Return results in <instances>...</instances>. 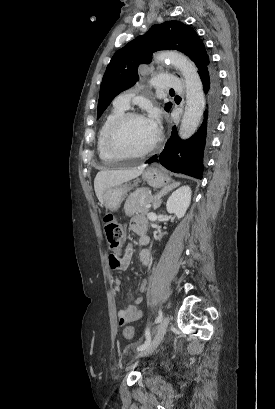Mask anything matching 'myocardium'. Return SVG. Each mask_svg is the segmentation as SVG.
Returning <instances> with one entry per match:
<instances>
[{"instance_id":"obj_1","label":"myocardium","mask_w":275,"mask_h":409,"mask_svg":"<svg viewBox=\"0 0 275 409\" xmlns=\"http://www.w3.org/2000/svg\"><path fill=\"white\" fill-rule=\"evenodd\" d=\"M137 119L147 120L146 117L140 113L127 112L119 116L113 122L106 139V150L108 152L109 157H140L150 153L157 146L161 138V131L155 127V135L146 147L134 151H119L116 149L115 141L120 129L127 122Z\"/></svg>"}]
</instances>
